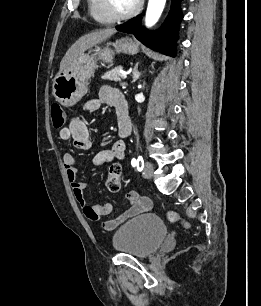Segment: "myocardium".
Here are the masks:
<instances>
[{
	"instance_id": "myocardium-1",
	"label": "myocardium",
	"mask_w": 261,
	"mask_h": 306,
	"mask_svg": "<svg viewBox=\"0 0 261 306\" xmlns=\"http://www.w3.org/2000/svg\"><path fill=\"white\" fill-rule=\"evenodd\" d=\"M144 0H138L135 7L126 12V13H118L115 11L111 0H101L102 9L105 14L113 21H121L134 17L136 14L140 12L143 7Z\"/></svg>"
}]
</instances>
